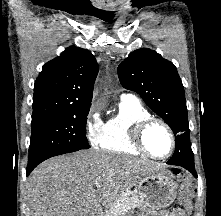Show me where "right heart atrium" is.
<instances>
[{"label": "right heart atrium", "instance_id": "1", "mask_svg": "<svg viewBox=\"0 0 221 216\" xmlns=\"http://www.w3.org/2000/svg\"><path fill=\"white\" fill-rule=\"evenodd\" d=\"M103 122L97 107L92 106L88 112L85 123V135L88 142L92 146H96L100 142L102 135Z\"/></svg>", "mask_w": 221, "mask_h": 216}]
</instances>
